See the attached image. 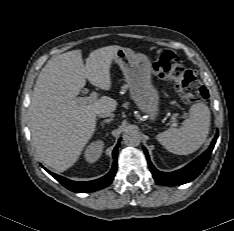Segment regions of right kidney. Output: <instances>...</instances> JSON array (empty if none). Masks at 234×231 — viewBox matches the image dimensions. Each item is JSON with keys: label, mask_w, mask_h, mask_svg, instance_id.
Segmentation results:
<instances>
[{"label": "right kidney", "mask_w": 234, "mask_h": 231, "mask_svg": "<svg viewBox=\"0 0 234 231\" xmlns=\"http://www.w3.org/2000/svg\"><path fill=\"white\" fill-rule=\"evenodd\" d=\"M104 142L102 140L90 143L85 150V159L88 163L96 162L102 155Z\"/></svg>", "instance_id": "ca27d5eb"}]
</instances>
